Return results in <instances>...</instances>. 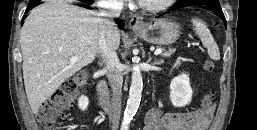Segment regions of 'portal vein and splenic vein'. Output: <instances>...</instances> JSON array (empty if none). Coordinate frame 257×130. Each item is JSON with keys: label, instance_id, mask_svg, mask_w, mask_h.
<instances>
[{"label": "portal vein and splenic vein", "instance_id": "1", "mask_svg": "<svg viewBox=\"0 0 257 130\" xmlns=\"http://www.w3.org/2000/svg\"><path fill=\"white\" fill-rule=\"evenodd\" d=\"M162 53V49H157L155 52H154V54L155 55H159V54H161ZM79 60V57H77V56H71L70 57V62H76V61H78Z\"/></svg>", "mask_w": 257, "mask_h": 130}]
</instances>
